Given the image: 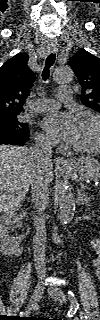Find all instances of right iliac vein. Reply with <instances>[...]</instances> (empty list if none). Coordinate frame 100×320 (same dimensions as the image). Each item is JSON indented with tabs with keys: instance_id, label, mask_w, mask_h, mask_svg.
I'll list each match as a JSON object with an SVG mask.
<instances>
[{
	"instance_id": "obj_1",
	"label": "right iliac vein",
	"mask_w": 100,
	"mask_h": 320,
	"mask_svg": "<svg viewBox=\"0 0 100 320\" xmlns=\"http://www.w3.org/2000/svg\"><path fill=\"white\" fill-rule=\"evenodd\" d=\"M44 293V287L41 284H38L33 293L32 296L30 298V302H29V308L31 309L33 306H35V304L41 299L42 295Z\"/></svg>"
}]
</instances>
